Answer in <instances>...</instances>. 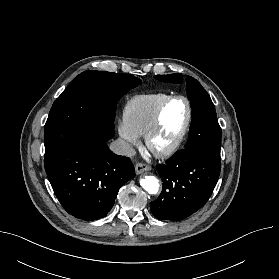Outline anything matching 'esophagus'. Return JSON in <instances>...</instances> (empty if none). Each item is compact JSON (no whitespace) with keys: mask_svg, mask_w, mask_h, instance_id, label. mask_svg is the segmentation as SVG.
<instances>
[{"mask_svg":"<svg viewBox=\"0 0 279 279\" xmlns=\"http://www.w3.org/2000/svg\"><path fill=\"white\" fill-rule=\"evenodd\" d=\"M148 170H151V167L147 164H144V163H137L135 165V172L136 174H142L144 173L145 171H148Z\"/></svg>","mask_w":279,"mask_h":279,"instance_id":"esophagus-1","label":"esophagus"}]
</instances>
